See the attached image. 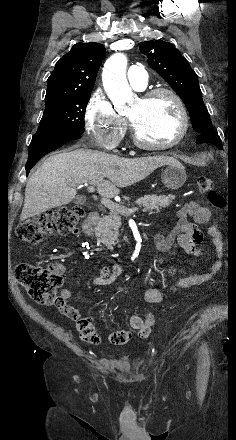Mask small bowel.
<instances>
[{
	"label": "small bowel",
	"instance_id": "small-bowel-1",
	"mask_svg": "<svg viewBox=\"0 0 236 440\" xmlns=\"http://www.w3.org/2000/svg\"><path fill=\"white\" fill-rule=\"evenodd\" d=\"M189 217L193 218L196 223H208L211 213L208 207L199 204L196 201L186 202L176 214L177 221L174 226L166 227L164 232L155 235L154 243L160 252L169 251L172 246L177 243L187 253L198 256L200 254V244L203 241V233L198 229L197 225L189 221ZM208 234L211 237L214 247V261L210 269L205 273L192 274L177 279L174 283L176 289H187L199 286L217 275L222 266V235L217 226L213 223L208 228ZM54 269L63 272L64 268L61 264L52 265ZM123 271L119 266L112 269L102 267L99 274L94 277L91 284L94 286H108L114 283ZM60 296L64 299L66 307L62 311L66 317L73 322L71 327L78 330L81 338L91 344H97L100 336L94 327V322L89 319L82 318L79 311L68 305L67 301L71 298L72 292L69 289H63ZM144 299L151 304H159L163 300V295L156 288H148L144 292ZM87 320V321H83ZM130 327H126L122 331L112 332L107 335L108 340L115 345H124L128 343L132 336L138 332L140 339H147L151 331L150 324H143V320L139 315H131L129 318Z\"/></svg>",
	"mask_w": 236,
	"mask_h": 440
}]
</instances>
